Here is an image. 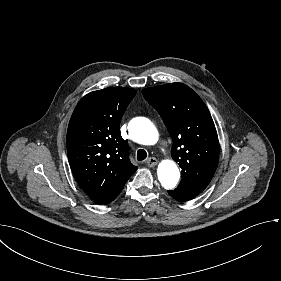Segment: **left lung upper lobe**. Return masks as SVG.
<instances>
[{"instance_id":"5c2ea615","label":"left lung upper lobe","mask_w":281,"mask_h":281,"mask_svg":"<svg viewBox=\"0 0 281 281\" xmlns=\"http://www.w3.org/2000/svg\"><path fill=\"white\" fill-rule=\"evenodd\" d=\"M142 94L158 111L172 137L171 156L182 169L176 189L197 196L211 181L219 160V141L209 110L182 83L147 88Z\"/></svg>"}]
</instances>
